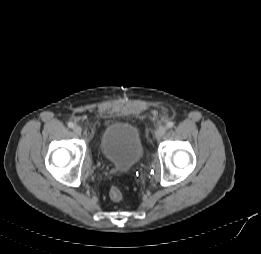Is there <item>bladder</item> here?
Wrapping results in <instances>:
<instances>
[{
  "mask_svg": "<svg viewBox=\"0 0 261 254\" xmlns=\"http://www.w3.org/2000/svg\"><path fill=\"white\" fill-rule=\"evenodd\" d=\"M99 148L104 159L119 170L135 166L144 151L138 128L126 122L107 126L101 135Z\"/></svg>",
  "mask_w": 261,
  "mask_h": 254,
  "instance_id": "obj_1",
  "label": "bladder"
}]
</instances>
